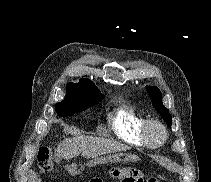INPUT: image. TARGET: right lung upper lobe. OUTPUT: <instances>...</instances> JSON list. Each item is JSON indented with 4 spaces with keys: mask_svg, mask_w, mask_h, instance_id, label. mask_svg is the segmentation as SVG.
Returning a JSON list of instances; mask_svg holds the SVG:
<instances>
[{
    "mask_svg": "<svg viewBox=\"0 0 211 182\" xmlns=\"http://www.w3.org/2000/svg\"><path fill=\"white\" fill-rule=\"evenodd\" d=\"M69 84H74V85L79 86V87H81L83 89L93 91L94 93H97V94H101V92L95 86V84L91 80L86 79V78H81L79 80V83H69Z\"/></svg>",
    "mask_w": 211,
    "mask_h": 182,
    "instance_id": "right-lung-upper-lobe-1",
    "label": "right lung upper lobe"
}]
</instances>
